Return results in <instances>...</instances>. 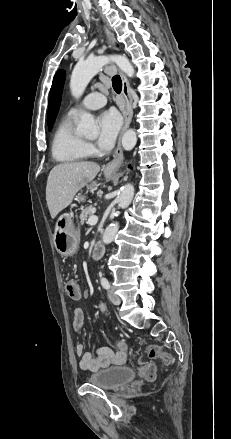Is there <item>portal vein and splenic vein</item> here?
Masks as SVG:
<instances>
[{
	"mask_svg": "<svg viewBox=\"0 0 231 439\" xmlns=\"http://www.w3.org/2000/svg\"><path fill=\"white\" fill-rule=\"evenodd\" d=\"M98 222V217L97 216H91L88 219V224L89 225H95Z\"/></svg>",
	"mask_w": 231,
	"mask_h": 439,
	"instance_id": "18ae733b",
	"label": "portal vein and splenic vein"
}]
</instances>
